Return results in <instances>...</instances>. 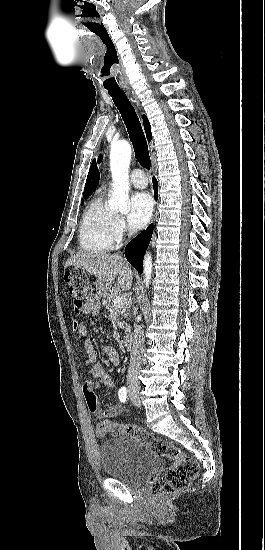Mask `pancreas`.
Wrapping results in <instances>:
<instances>
[{"label":"pancreas","mask_w":265,"mask_h":550,"mask_svg":"<svg viewBox=\"0 0 265 550\" xmlns=\"http://www.w3.org/2000/svg\"><path fill=\"white\" fill-rule=\"evenodd\" d=\"M120 294L121 292L119 288H113L112 291L107 293V295L105 296L103 300V306L108 310H111L112 308H114L115 307L114 300L117 297H119ZM129 308H130V305L128 303H126L124 306H121L120 307L121 315L126 317L128 315ZM129 331H130V327L128 325H125V332H129Z\"/></svg>","instance_id":"pancreas-1"}]
</instances>
